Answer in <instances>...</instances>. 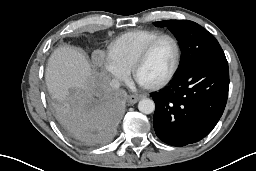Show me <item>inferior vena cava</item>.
<instances>
[{
  "label": "inferior vena cava",
  "instance_id": "602c4592",
  "mask_svg": "<svg viewBox=\"0 0 256 171\" xmlns=\"http://www.w3.org/2000/svg\"><path fill=\"white\" fill-rule=\"evenodd\" d=\"M110 87L113 88V89H118L120 87V82L116 79H113L110 82Z\"/></svg>",
  "mask_w": 256,
  "mask_h": 171
}]
</instances>
